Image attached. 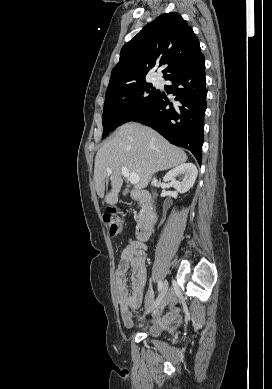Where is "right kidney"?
<instances>
[{"label":"right kidney","mask_w":272,"mask_h":389,"mask_svg":"<svg viewBox=\"0 0 272 389\" xmlns=\"http://www.w3.org/2000/svg\"><path fill=\"white\" fill-rule=\"evenodd\" d=\"M197 168L193 163H184L174 169L170 170L164 177V181H171L172 186L179 193H185L189 191L197 178ZM183 175L180 181L176 180V177Z\"/></svg>","instance_id":"1"}]
</instances>
